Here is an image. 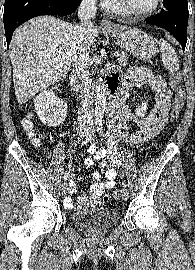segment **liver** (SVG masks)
Masks as SVG:
<instances>
[{"instance_id":"liver-1","label":"liver","mask_w":195,"mask_h":270,"mask_svg":"<svg viewBox=\"0 0 195 270\" xmlns=\"http://www.w3.org/2000/svg\"><path fill=\"white\" fill-rule=\"evenodd\" d=\"M75 26L52 16H40L15 30L10 59L18 103H26L67 75L72 63ZM98 35V28L93 25L90 44Z\"/></svg>"}]
</instances>
